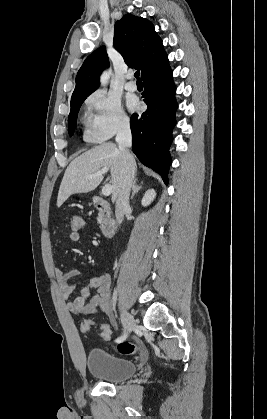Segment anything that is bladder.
<instances>
[{
	"mask_svg": "<svg viewBox=\"0 0 267 419\" xmlns=\"http://www.w3.org/2000/svg\"><path fill=\"white\" fill-rule=\"evenodd\" d=\"M86 366L93 377L108 383L126 380L137 371L133 361L118 357L102 348H92L88 352Z\"/></svg>",
	"mask_w": 267,
	"mask_h": 419,
	"instance_id": "31cf9c89",
	"label": "bladder"
}]
</instances>
